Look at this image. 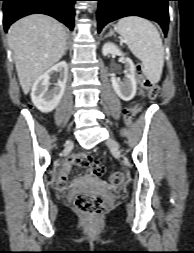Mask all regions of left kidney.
<instances>
[{"instance_id":"left-kidney-1","label":"left kidney","mask_w":194,"mask_h":253,"mask_svg":"<svg viewBox=\"0 0 194 253\" xmlns=\"http://www.w3.org/2000/svg\"><path fill=\"white\" fill-rule=\"evenodd\" d=\"M102 53L104 56H107L109 54H120L121 56H123L120 49L113 43H105L102 48ZM123 60L125 64V79L121 81L120 79H117L112 75L111 82L116 94L122 100L129 101L135 96L137 90L135 78L136 68L130 58L123 57Z\"/></svg>"}]
</instances>
